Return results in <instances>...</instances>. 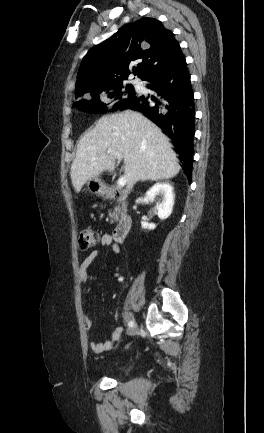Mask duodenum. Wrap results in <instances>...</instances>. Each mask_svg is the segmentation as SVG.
I'll list each match as a JSON object with an SVG mask.
<instances>
[{"instance_id":"410a0bca","label":"duodenum","mask_w":264,"mask_h":433,"mask_svg":"<svg viewBox=\"0 0 264 433\" xmlns=\"http://www.w3.org/2000/svg\"><path fill=\"white\" fill-rule=\"evenodd\" d=\"M108 198L124 200L126 198V194L121 191L112 190L108 192ZM132 222L133 220L131 215H123L113 231V238L115 241L121 242L125 239L132 227Z\"/></svg>"}]
</instances>
